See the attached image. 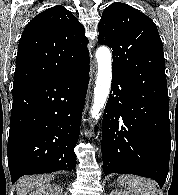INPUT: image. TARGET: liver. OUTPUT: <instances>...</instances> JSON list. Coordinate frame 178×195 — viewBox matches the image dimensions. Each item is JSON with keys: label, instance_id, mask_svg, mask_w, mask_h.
<instances>
[{"label": "liver", "instance_id": "6515ba94", "mask_svg": "<svg viewBox=\"0 0 178 195\" xmlns=\"http://www.w3.org/2000/svg\"><path fill=\"white\" fill-rule=\"evenodd\" d=\"M52 179L53 177L51 175H36L23 177L17 182V195H27L30 191L41 185L49 183Z\"/></svg>", "mask_w": 178, "mask_h": 195}]
</instances>
